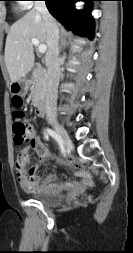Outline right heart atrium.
Wrapping results in <instances>:
<instances>
[{
  "mask_svg": "<svg viewBox=\"0 0 133 253\" xmlns=\"http://www.w3.org/2000/svg\"><path fill=\"white\" fill-rule=\"evenodd\" d=\"M31 2L29 0H22L20 1V7L22 9H27L28 7H30Z\"/></svg>",
  "mask_w": 133,
  "mask_h": 253,
  "instance_id": "obj_1",
  "label": "right heart atrium"
}]
</instances>
